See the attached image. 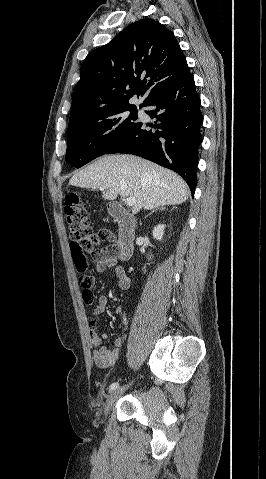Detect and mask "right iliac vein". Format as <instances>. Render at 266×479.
<instances>
[{
  "label": "right iliac vein",
  "mask_w": 266,
  "mask_h": 479,
  "mask_svg": "<svg viewBox=\"0 0 266 479\" xmlns=\"http://www.w3.org/2000/svg\"><path fill=\"white\" fill-rule=\"evenodd\" d=\"M129 385L125 387H120L115 390H113L109 396L107 397L105 406H104V414L107 415L112 407V405L115 403V401L122 395V393L128 388Z\"/></svg>",
  "instance_id": "right-iliac-vein-1"
}]
</instances>
